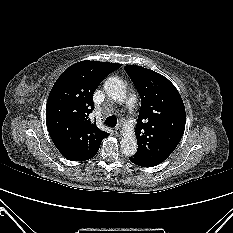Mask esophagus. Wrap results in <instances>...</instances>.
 I'll use <instances>...</instances> for the list:
<instances>
[{"mask_svg": "<svg viewBox=\"0 0 233 233\" xmlns=\"http://www.w3.org/2000/svg\"><path fill=\"white\" fill-rule=\"evenodd\" d=\"M115 132L117 134V136H121L123 131H122V126L121 125H118L116 128H115Z\"/></svg>", "mask_w": 233, "mask_h": 233, "instance_id": "esophagus-1", "label": "esophagus"}]
</instances>
